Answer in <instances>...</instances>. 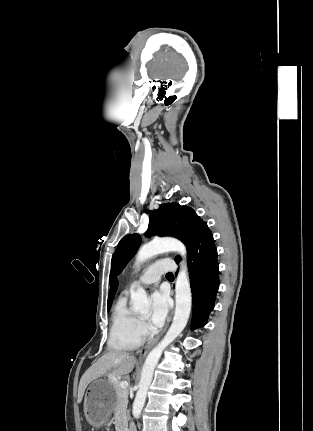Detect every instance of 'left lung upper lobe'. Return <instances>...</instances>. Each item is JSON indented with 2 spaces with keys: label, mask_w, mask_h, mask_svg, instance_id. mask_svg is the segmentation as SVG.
<instances>
[{
  "label": "left lung upper lobe",
  "mask_w": 313,
  "mask_h": 431,
  "mask_svg": "<svg viewBox=\"0 0 313 431\" xmlns=\"http://www.w3.org/2000/svg\"><path fill=\"white\" fill-rule=\"evenodd\" d=\"M207 224L187 206L178 203H165L154 210L149 217L147 237L159 234L180 239L187 247V254L191 252L199 235ZM141 243L138 234H128L123 237L112 256L110 280L121 273L123 268L134 256ZM176 262L180 257L175 258Z\"/></svg>",
  "instance_id": "5c2ea615"
}]
</instances>
